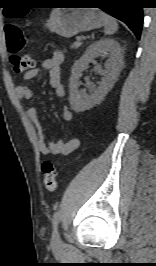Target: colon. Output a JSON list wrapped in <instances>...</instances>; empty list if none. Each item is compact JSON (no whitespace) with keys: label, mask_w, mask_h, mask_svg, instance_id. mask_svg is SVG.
Wrapping results in <instances>:
<instances>
[{"label":"colon","mask_w":156,"mask_h":266,"mask_svg":"<svg viewBox=\"0 0 156 266\" xmlns=\"http://www.w3.org/2000/svg\"><path fill=\"white\" fill-rule=\"evenodd\" d=\"M6 48L10 53V61L16 72H24L34 67V60L20 52L26 45L24 32L16 25L9 24L5 27ZM44 175V186L49 192H54L57 187V169L53 162L44 161L41 166Z\"/></svg>","instance_id":"5ec220e1"}]
</instances>
